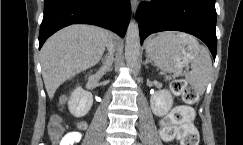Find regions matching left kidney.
I'll return each instance as SVG.
<instances>
[{"instance_id": "left-kidney-1", "label": "left kidney", "mask_w": 243, "mask_h": 145, "mask_svg": "<svg viewBox=\"0 0 243 145\" xmlns=\"http://www.w3.org/2000/svg\"><path fill=\"white\" fill-rule=\"evenodd\" d=\"M150 106L154 115L162 117L166 115L173 106L172 95L167 89L154 93L150 98Z\"/></svg>"}]
</instances>
